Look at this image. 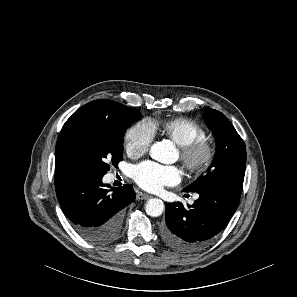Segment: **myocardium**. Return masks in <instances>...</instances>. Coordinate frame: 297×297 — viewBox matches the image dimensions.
I'll use <instances>...</instances> for the list:
<instances>
[{
	"instance_id": "1",
	"label": "myocardium",
	"mask_w": 297,
	"mask_h": 297,
	"mask_svg": "<svg viewBox=\"0 0 297 297\" xmlns=\"http://www.w3.org/2000/svg\"><path fill=\"white\" fill-rule=\"evenodd\" d=\"M179 156L186 171L198 177L212 166L216 157V146L207 138L199 139L179 146Z\"/></svg>"
}]
</instances>
